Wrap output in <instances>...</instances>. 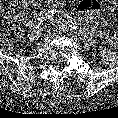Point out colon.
Listing matches in <instances>:
<instances>
[{"label": "colon", "mask_w": 118, "mask_h": 118, "mask_svg": "<svg viewBox=\"0 0 118 118\" xmlns=\"http://www.w3.org/2000/svg\"><path fill=\"white\" fill-rule=\"evenodd\" d=\"M21 9L22 0H0V13H4L7 18L17 17Z\"/></svg>", "instance_id": "obj_1"}]
</instances>
